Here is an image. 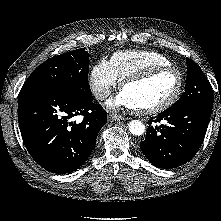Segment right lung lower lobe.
Segmentation results:
<instances>
[{
  "label": "right lung lower lobe",
  "instance_id": "right-lung-lower-lobe-1",
  "mask_svg": "<svg viewBox=\"0 0 221 221\" xmlns=\"http://www.w3.org/2000/svg\"><path fill=\"white\" fill-rule=\"evenodd\" d=\"M78 115L83 120L72 121ZM18 122L23 142L40 166L53 173H70L91 154L107 113L92 98L37 87L20 91Z\"/></svg>",
  "mask_w": 221,
  "mask_h": 221
}]
</instances>
